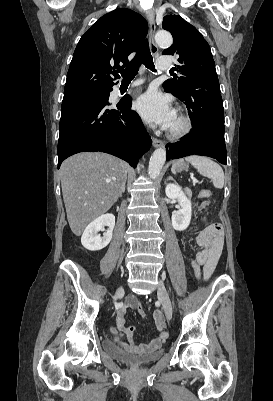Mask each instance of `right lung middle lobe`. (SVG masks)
Wrapping results in <instances>:
<instances>
[{"instance_id": "obj_1", "label": "right lung middle lobe", "mask_w": 273, "mask_h": 401, "mask_svg": "<svg viewBox=\"0 0 273 401\" xmlns=\"http://www.w3.org/2000/svg\"><path fill=\"white\" fill-rule=\"evenodd\" d=\"M109 95L110 90L65 96L62 101V109L84 102H104L108 100Z\"/></svg>"}]
</instances>
